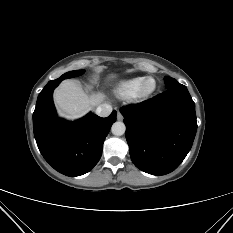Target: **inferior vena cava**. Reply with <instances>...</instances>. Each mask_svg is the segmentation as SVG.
Listing matches in <instances>:
<instances>
[{"label": "inferior vena cava", "instance_id": "1", "mask_svg": "<svg viewBox=\"0 0 233 233\" xmlns=\"http://www.w3.org/2000/svg\"><path fill=\"white\" fill-rule=\"evenodd\" d=\"M95 112L100 117H107L111 114L112 107H111V105H109L107 103H103L96 108Z\"/></svg>", "mask_w": 233, "mask_h": 233}]
</instances>
